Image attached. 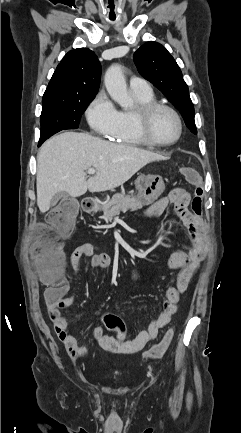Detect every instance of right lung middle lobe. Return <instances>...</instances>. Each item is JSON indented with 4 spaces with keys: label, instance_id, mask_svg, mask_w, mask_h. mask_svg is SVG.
I'll return each instance as SVG.
<instances>
[{
    "label": "right lung middle lobe",
    "instance_id": "dd1d6c3e",
    "mask_svg": "<svg viewBox=\"0 0 241 433\" xmlns=\"http://www.w3.org/2000/svg\"><path fill=\"white\" fill-rule=\"evenodd\" d=\"M93 99H50L43 101L39 145L61 130L78 128L82 113Z\"/></svg>",
    "mask_w": 241,
    "mask_h": 433
}]
</instances>
